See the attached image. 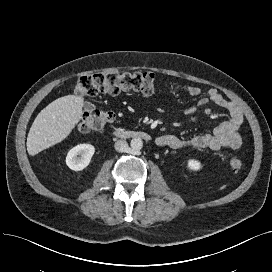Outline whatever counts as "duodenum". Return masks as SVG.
I'll return each instance as SVG.
<instances>
[{"mask_svg":"<svg viewBox=\"0 0 272 272\" xmlns=\"http://www.w3.org/2000/svg\"><path fill=\"white\" fill-rule=\"evenodd\" d=\"M114 135L120 138H127V139H132V138H142L146 140L151 139L150 135L146 132L127 130V129H117L114 131Z\"/></svg>","mask_w":272,"mask_h":272,"instance_id":"duodenum-1","label":"duodenum"}]
</instances>
